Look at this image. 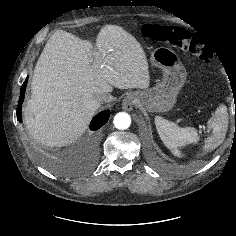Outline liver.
Masks as SVG:
<instances>
[{
	"mask_svg": "<svg viewBox=\"0 0 236 236\" xmlns=\"http://www.w3.org/2000/svg\"><path fill=\"white\" fill-rule=\"evenodd\" d=\"M146 54L118 25L106 24L95 46L64 30L47 41L34 70L24 122L37 142L53 147L77 140L101 106L100 96L118 89H146Z\"/></svg>",
	"mask_w": 236,
	"mask_h": 236,
	"instance_id": "1",
	"label": "liver"
}]
</instances>
